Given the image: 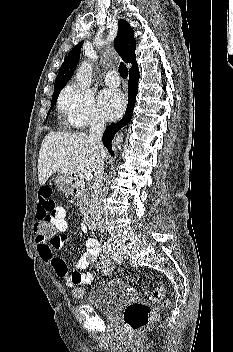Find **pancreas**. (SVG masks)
Masks as SVG:
<instances>
[{
	"instance_id": "cf45deb5",
	"label": "pancreas",
	"mask_w": 233,
	"mask_h": 352,
	"mask_svg": "<svg viewBox=\"0 0 233 352\" xmlns=\"http://www.w3.org/2000/svg\"><path fill=\"white\" fill-rule=\"evenodd\" d=\"M77 193L76 197L79 199L78 207L80 212L84 213L91 204L92 194L90 188L86 187L83 180H78L76 183Z\"/></svg>"
}]
</instances>
